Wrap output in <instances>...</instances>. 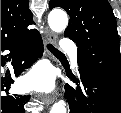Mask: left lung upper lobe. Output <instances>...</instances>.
Listing matches in <instances>:
<instances>
[{
  "label": "left lung upper lobe",
  "mask_w": 121,
  "mask_h": 113,
  "mask_svg": "<svg viewBox=\"0 0 121 113\" xmlns=\"http://www.w3.org/2000/svg\"><path fill=\"white\" fill-rule=\"evenodd\" d=\"M70 16L65 37L78 47L79 67L89 68L121 88V56L116 19L107 0H50L49 8Z\"/></svg>",
  "instance_id": "left-lung-upper-lobe-1"
}]
</instances>
